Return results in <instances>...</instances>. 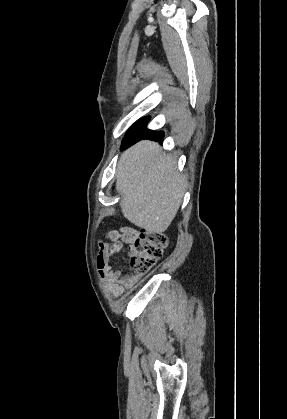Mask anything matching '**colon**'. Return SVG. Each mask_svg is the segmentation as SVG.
<instances>
[{"label": "colon", "instance_id": "colon-1", "mask_svg": "<svg viewBox=\"0 0 287 419\" xmlns=\"http://www.w3.org/2000/svg\"><path fill=\"white\" fill-rule=\"evenodd\" d=\"M167 239L159 233L144 230L136 233L130 242L131 268L138 275L146 273L162 257Z\"/></svg>", "mask_w": 287, "mask_h": 419}]
</instances>
